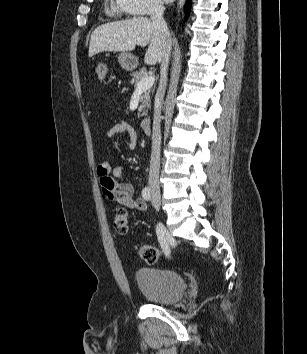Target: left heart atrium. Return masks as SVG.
Wrapping results in <instances>:
<instances>
[{
	"instance_id": "1",
	"label": "left heart atrium",
	"mask_w": 307,
	"mask_h": 354,
	"mask_svg": "<svg viewBox=\"0 0 307 354\" xmlns=\"http://www.w3.org/2000/svg\"><path fill=\"white\" fill-rule=\"evenodd\" d=\"M166 2H169V1H171V0H165Z\"/></svg>"
}]
</instances>
